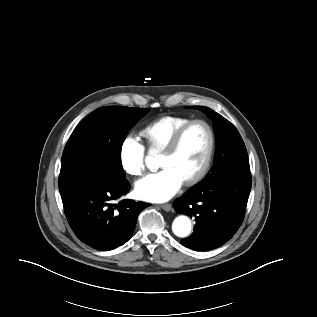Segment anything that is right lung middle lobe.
I'll use <instances>...</instances> for the list:
<instances>
[{
  "mask_svg": "<svg viewBox=\"0 0 317 317\" xmlns=\"http://www.w3.org/2000/svg\"><path fill=\"white\" fill-rule=\"evenodd\" d=\"M149 110L106 106L83 119L71 134L62 155L60 192L99 171L109 170L125 176L121 163L122 144L129 130Z\"/></svg>",
  "mask_w": 317,
  "mask_h": 317,
  "instance_id": "obj_1",
  "label": "right lung middle lobe"
}]
</instances>
